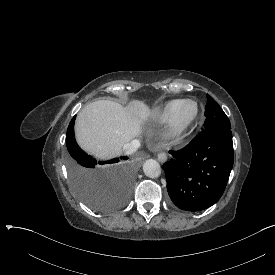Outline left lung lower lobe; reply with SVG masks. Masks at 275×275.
<instances>
[{"instance_id":"left-lung-lower-lobe-1","label":"left lung lower lobe","mask_w":275,"mask_h":275,"mask_svg":"<svg viewBox=\"0 0 275 275\" xmlns=\"http://www.w3.org/2000/svg\"><path fill=\"white\" fill-rule=\"evenodd\" d=\"M231 127L206 129L187 146L170 151L163 164L172 202L185 211H201L222 196L233 166Z\"/></svg>"}]
</instances>
